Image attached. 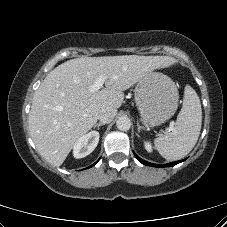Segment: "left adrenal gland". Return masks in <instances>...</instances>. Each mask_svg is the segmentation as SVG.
Returning <instances> with one entry per match:
<instances>
[{
  "mask_svg": "<svg viewBox=\"0 0 227 227\" xmlns=\"http://www.w3.org/2000/svg\"><path fill=\"white\" fill-rule=\"evenodd\" d=\"M137 129H138V132H140L142 129V126H140V124L138 122H137Z\"/></svg>",
  "mask_w": 227,
  "mask_h": 227,
  "instance_id": "left-adrenal-gland-1",
  "label": "left adrenal gland"
}]
</instances>
